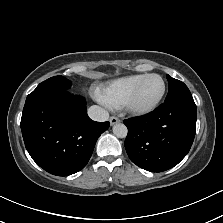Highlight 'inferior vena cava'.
<instances>
[{"mask_svg": "<svg viewBox=\"0 0 223 223\" xmlns=\"http://www.w3.org/2000/svg\"><path fill=\"white\" fill-rule=\"evenodd\" d=\"M88 115L96 121H106L109 118V112L99 105L91 106Z\"/></svg>", "mask_w": 223, "mask_h": 223, "instance_id": "1", "label": "inferior vena cava"}]
</instances>
